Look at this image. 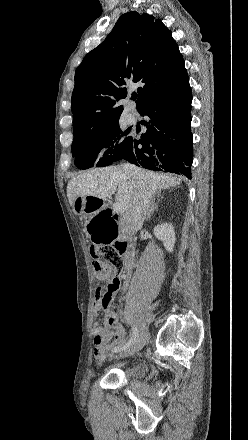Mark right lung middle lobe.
<instances>
[{
    "instance_id": "obj_1",
    "label": "right lung middle lobe",
    "mask_w": 248,
    "mask_h": 440,
    "mask_svg": "<svg viewBox=\"0 0 248 440\" xmlns=\"http://www.w3.org/2000/svg\"><path fill=\"white\" fill-rule=\"evenodd\" d=\"M120 129L119 122L108 127L74 136L72 154L79 169L104 167L120 160L126 153L131 136ZM102 150V157L96 161Z\"/></svg>"
}]
</instances>
